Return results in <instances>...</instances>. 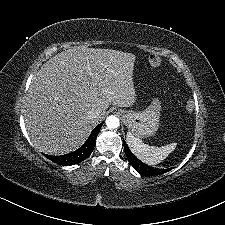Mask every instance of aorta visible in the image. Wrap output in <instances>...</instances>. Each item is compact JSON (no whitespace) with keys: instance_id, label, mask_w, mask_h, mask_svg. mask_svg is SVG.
<instances>
[{"instance_id":"1","label":"aorta","mask_w":225,"mask_h":225,"mask_svg":"<svg viewBox=\"0 0 225 225\" xmlns=\"http://www.w3.org/2000/svg\"><path fill=\"white\" fill-rule=\"evenodd\" d=\"M105 123H106L107 128L111 129V130L116 129L120 126L119 119L114 115L108 116L106 118Z\"/></svg>"}]
</instances>
